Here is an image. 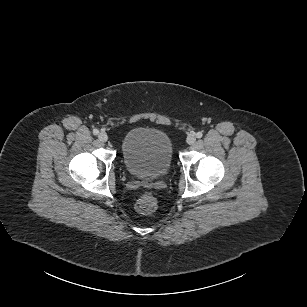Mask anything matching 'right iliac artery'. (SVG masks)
<instances>
[{
  "label": "right iliac artery",
  "mask_w": 307,
  "mask_h": 307,
  "mask_svg": "<svg viewBox=\"0 0 307 307\" xmlns=\"http://www.w3.org/2000/svg\"><path fill=\"white\" fill-rule=\"evenodd\" d=\"M98 133H99V130H98V129H94V130H93V134H94V135H98Z\"/></svg>",
  "instance_id": "1"
}]
</instances>
